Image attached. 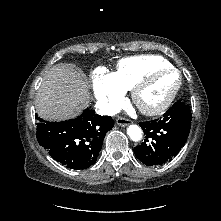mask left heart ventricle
Here are the masks:
<instances>
[{"instance_id": "left-heart-ventricle-1", "label": "left heart ventricle", "mask_w": 221, "mask_h": 221, "mask_svg": "<svg viewBox=\"0 0 221 221\" xmlns=\"http://www.w3.org/2000/svg\"><path fill=\"white\" fill-rule=\"evenodd\" d=\"M177 82L173 73L163 74L148 86L140 95V102L145 106H156L163 102Z\"/></svg>"}]
</instances>
